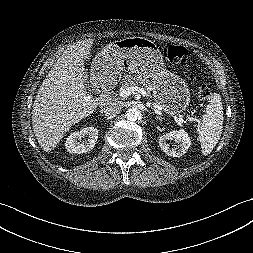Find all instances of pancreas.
<instances>
[{
	"label": "pancreas",
	"instance_id": "pancreas-1",
	"mask_svg": "<svg viewBox=\"0 0 253 253\" xmlns=\"http://www.w3.org/2000/svg\"><path fill=\"white\" fill-rule=\"evenodd\" d=\"M132 86L143 87L144 90L147 91V95H149L152 88V83L147 78H144L141 75H126L123 79L121 89H125L127 87Z\"/></svg>",
	"mask_w": 253,
	"mask_h": 253
}]
</instances>
